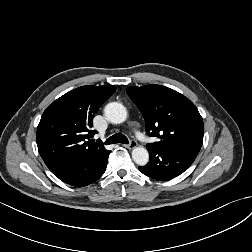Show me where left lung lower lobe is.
I'll use <instances>...</instances> for the list:
<instances>
[{
  "mask_svg": "<svg viewBox=\"0 0 252 252\" xmlns=\"http://www.w3.org/2000/svg\"><path fill=\"white\" fill-rule=\"evenodd\" d=\"M149 163L139 170L154 179L169 180L187 170L196 158V154L182 150L148 149Z\"/></svg>",
  "mask_w": 252,
  "mask_h": 252,
  "instance_id": "left-lung-lower-lobe-1",
  "label": "left lung lower lobe"
}]
</instances>
